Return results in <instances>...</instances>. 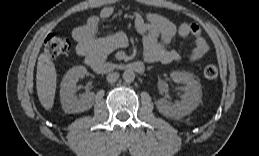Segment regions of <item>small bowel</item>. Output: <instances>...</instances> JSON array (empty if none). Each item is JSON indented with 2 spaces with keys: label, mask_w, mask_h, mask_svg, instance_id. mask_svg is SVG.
Instances as JSON below:
<instances>
[{
  "label": "small bowel",
  "mask_w": 259,
  "mask_h": 156,
  "mask_svg": "<svg viewBox=\"0 0 259 156\" xmlns=\"http://www.w3.org/2000/svg\"><path fill=\"white\" fill-rule=\"evenodd\" d=\"M113 14L114 8L105 6L98 15L91 16L84 25L73 30L72 37L80 55L104 60L113 50L127 46V36L122 32L109 36L97 34L100 20L109 19ZM133 16L135 28L143 37V58L148 63H171L181 59L179 52L169 47L176 34L193 37L194 47L188 58L190 62L200 61L209 52L207 41L196 24L182 23L177 28L171 20L159 14L148 13L143 17L134 13Z\"/></svg>",
  "instance_id": "small-bowel-1"
}]
</instances>
